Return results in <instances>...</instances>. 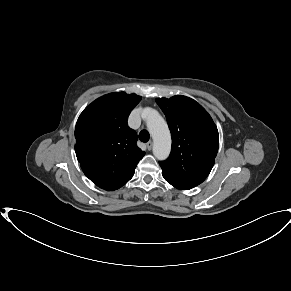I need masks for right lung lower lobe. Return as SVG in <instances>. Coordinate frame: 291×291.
<instances>
[{
	"label": "right lung lower lobe",
	"mask_w": 291,
	"mask_h": 291,
	"mask_svg": "<svg viewBox=\"0 0 291 291\" xmlns=\"http://www.w3.org/2000/svg\"><path fill=\"white\" fill-rule=\"evenodd\" d=\"M132 176L129 177V178H127L126 180H124L122 182L102 183V184H97V186L100 187V188H102V189H104V190H107V191H113V190H116V189L120 188L124 184H126L128 182V180H130L132 178Z\"/></svg>",
	"instance_id": "right-lung-lower-lobe-1"
}]
</instances>
